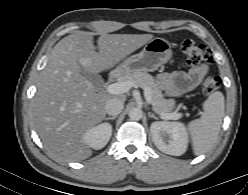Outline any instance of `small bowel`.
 I'll return each instance as SVG.
<instances>
[{
	"label": "small bowel",
	"mask_w": 248,
	"mask_h": 195,
	"mask_svg": "<svg viewBox=\"0 0 248 195\" xmlns=\"http://www.w3.org/2000/svg\"><path fill=\"white\" fill-rule=\"evenodd\" d=\"M207 66L202 65L189 71L164 73L158 77V84L170 96H181L197 87L207 73Z\"/></svg>",
	"instance_id": "c3829d8e"
}]
</instances>
